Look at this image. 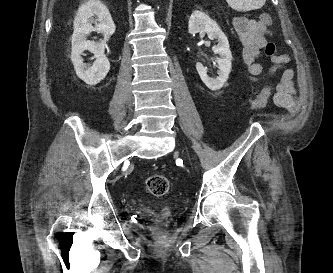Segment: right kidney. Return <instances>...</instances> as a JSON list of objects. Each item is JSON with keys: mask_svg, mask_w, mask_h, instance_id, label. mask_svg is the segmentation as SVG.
<instances>
[{"mask_svg": "<svg viewBox=\"0 0 333 273\" xmlns=\"http://www.w3.org/2000/svg\"><path fill=\"white\" fill-rule=\"evenodd\" d=\"M73 26L71 61L77 76L87 84L95 85L103 80L110 70V63L104 52L106 41L115 32V24L109 10L101 1L89 0L78 9ZM93 31L104 36L102 43L87 40V36ZM85 50H89L96 58L92 65L83 62L82 55Z\"/></svg>", "mask_w": 333, "mask_h": 273, "instance_id": "ca27d5eb", "label": "right kidney"}]
</instances>
